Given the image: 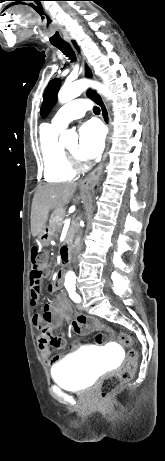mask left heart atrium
<instances>
[{
    "label": "left heart atrium",
    "mask_w": 165,
    "mask_h": 461,
    "mask_svg": "<svg viewBox=\"0 0 165 461\" xmlns=\"http://www.w3.org/2000/svg\"><path fill=\"white\" fill-rule=\"evenodd\" d=\"M105 132L102 126L90 121L83 124L79 129V153L84 158H95L103 150Z\"/></svg>",
    "instance_id": "39dd6f15"
}]
</instances>
